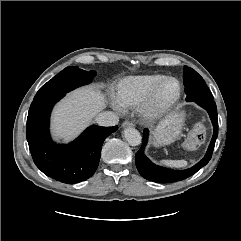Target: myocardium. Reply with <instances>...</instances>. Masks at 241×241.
<instances>
[{"label":"myocardium","instance_id":"1","mask_svg":"<svg viewBox=\"0 0 241 241\" xmlns=\"http://www.w3.org/2000/svg\"><path fill=\"white\" fill-rule=\"evenodd\" d=\"M169 81L176 84V94L165 102L158 101V95L163 85ZM182 86L174 77H165L151 90L145 100L139 105V113L146 121H154L165 115L181 98Z\"/></svg>","mask_w":241,"mask_h":241}]
</instances>
